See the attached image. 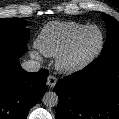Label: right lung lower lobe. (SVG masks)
I'll return each mask as SVG.
<instances>
[{
    "instance_id": "right-lung-lower-lobe-1",
    "label": "right lung lower lobe",
    "mask_w": 119,
    "mask_h": 119,
    "mask_svg": "<svg viewBox=\"0 0 119 119\" xmlns=\"http://www.w3.org/2000/svg\"><path fill=\"white\" fill-rule=\"evenodd\" d=\"M23 51L0 46V119H26L46 92V69L28 73L18 58Z\"/></svg>"
}]
</instances>
